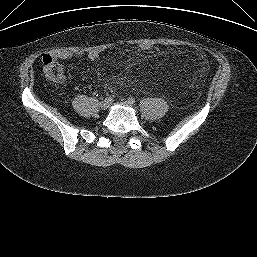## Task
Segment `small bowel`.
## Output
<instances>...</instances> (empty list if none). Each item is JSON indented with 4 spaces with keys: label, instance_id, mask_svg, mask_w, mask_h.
Listing matches in <instances>:
<instances>
[{
    "label": "small bowel",
    "instance_id": "c3829d8e",
    "mask_svg": "<svg viewBox=\"0 0 257 257\" xmlns=\"http://www.w3.org/2000/svg\"><path fill=\"white\" fill-rule=\"evenodd\" d=\"M52 59H69L73 57H80L82 54L80 53H72V52H59V51H53L50 54H48ZM87 57L89 59H96L98 57V54L96 52H90L87 54ZM71 69H75L73 65H69Z\"/></svg>",
    "mask_w": 257,
    "mask_h": 257
}]
</instances>
